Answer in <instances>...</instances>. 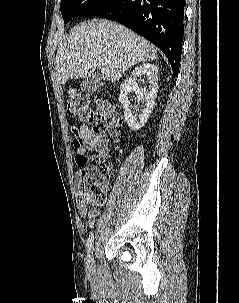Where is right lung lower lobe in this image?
Here are the masks:
<instances>
[{"label": "right lung lower lobe", "instance_id": "obj_1", "mask_svg": "<svg viewBox=\"0 0 239 303\" xmlns=\"http://www.w3.org/2000/svg\"><path fill=\"white\" fill-rule=\"evenodd\" d=\"M185 0H106L89 15L117 21L159 47L178 75Z\"/></svg>", "mask_w": 239, "mask_h": 303}]
</instances>
